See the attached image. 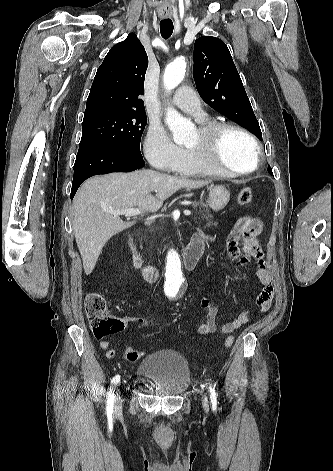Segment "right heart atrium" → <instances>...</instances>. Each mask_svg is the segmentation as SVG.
<instances>
[{
	"label": "right heart atrium",
	"mask_w": 333,
	"mask_h": 471,
	"mask_svg": "<svg viewBox=\"0 0 333 471\" xmlns=\"http://www.w3.org/2000/svg\"><path fill=\"white\" fill-rule=\"evenodd\" d=\"M143 149L149 163L166 172L173 171L184 155V149L175 144L166 131L156 124L149 126Z\"/></svg>",
	"instance_id": "obj_1"
}]
</instances>
